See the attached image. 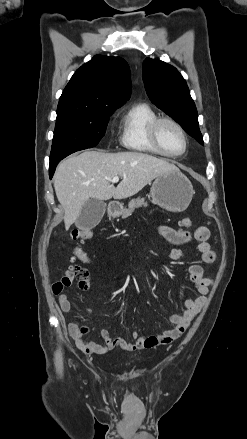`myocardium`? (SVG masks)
Returning a JSON list of instances; mask_svg holds the SVG:
<instances>
[{
    "instance_id": "obj_1",
    "label": "myocardium",
    "mask_w": 247,
    "mask_h": 439,
    "mask_svg": "<svg viewBox=\"0 0 247 439\" xmlns=\"http://www.w3.org/2000/svg\"><path fill=\"white\" fill-rule=\"evenodd\" d=\"M163 123L171 124L181 134L183 141H184V147H183V150L181 152L176 153V154L168 153L161 146L160 141H159V128ZM149 137H150V141H151L152 145L156 148V150L161 155H164L166 157L178 158V157L182 156L183 154H185V152L187 151V148H188V137H187L185 130L176 120H174L171 117H158L157 119H155L150 126Z\"/></svg>"
}]
</instances>
